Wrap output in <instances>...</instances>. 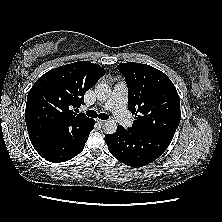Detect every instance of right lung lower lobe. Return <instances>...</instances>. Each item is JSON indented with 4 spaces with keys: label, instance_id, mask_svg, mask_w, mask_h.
Returning <instances> with one entry per match:
<instances>
[{
    "label": "right lung lower lobe",
    "instance_id": "right-lung-lower-lobe-1",
    "mask_svg": "<svg viewBox=\"0 0 222 222\" xmlns=\"http://www.w3.org/2000/svg\"><path fill=\"white\" fill-rule=\"evenodd\" d=\"M95 120L82 132L58 135L52 140L35 145V150L46 160L54 163L68 161L78 155L88 139L89 133L94 129Z\"/></svg>",
    "mask_w": 222,
    "mask_h": 222
}]
</instances>
